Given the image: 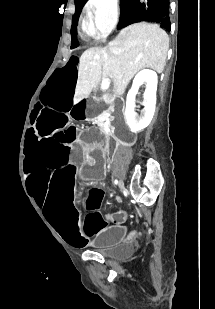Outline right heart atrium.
<instances>
[{
    "mask_svg": "<svg viewBox=\"0 0 215 309\" xmlns=\"http://www.w3.org/2000/svg\"><path fill=\"white\" fill-rule=\"evenodd\" d=\"M91 7H97L89 13V21L93 25V35L105 38L116 27L118 12L115 0H90Z\"/></svg>",
    "mask_w": 215,
    "mask_h": 309,
    "instance_id": "obj_1",
    "label": "right heart atrium"
}]
</instances>
